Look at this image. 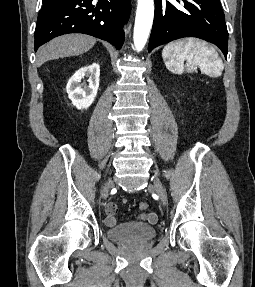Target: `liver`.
Returning a JSON list of instances; mask_svg holds the SVG:
<instances>
[{
  "instance_id": "1",
  "label": "liver",
  "mask_w": 255,
  "mask_h": 287,
  "mask_svg": "<svg viewBox=\"0 0 255 287\" xmlns=\"http://www.w3.org/2000/svg\"><path fill=\"white\" fill-rule=\"evenodd\" d=\"M96 44L95 38L84 36V34H67L48 42L46 46L39 48L37 52V66H42L48 60L68 58V56H79L85 54Z\"/></svg>"
}]
</instances>
